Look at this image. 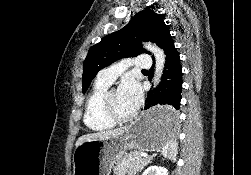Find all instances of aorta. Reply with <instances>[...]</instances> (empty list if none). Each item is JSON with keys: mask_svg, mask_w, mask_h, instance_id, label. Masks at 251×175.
<instances>
[{"mask_svg": "<svg viewBox=\"0 0 251 175\" xmlns=\"http://www.w3.org/2000/svg\"><path fill=\"white\" fill-rule=\"evenodd\" d=\"M144 48H146V50H149V52H152L153 56H155V74L153 78V84L154 88H156L163 74L165 66V54L163 50H161V48L154 46V44H150V42H148V44H144Z\"/></svg>", "mask_w": 251, "mask_h": 175, "instance_id": "1", "label": "aorta"}]
</instances>
